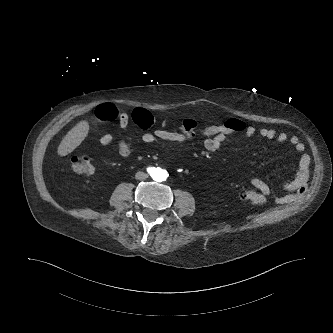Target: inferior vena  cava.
I'll list each match as a JSON object with an SVG mask.
<instances>
[{
    "instance_id": "602c4592",
    "label": "inferior vena cava",
    "mask_w": 333,
    "mask_h": 333,
    "mask_svg": "<svg viewBox=\"0 0 333 333\" xmlns=\"http://www.w3.org/2000/svg\"><path fill=\"white\" fill-rule=\"evenodd\" d=\"M135 178L137 180H145V179L148 178V174H146L145 172L139 171V172L136 173Z\"/></svg>"
}]
</instances>
